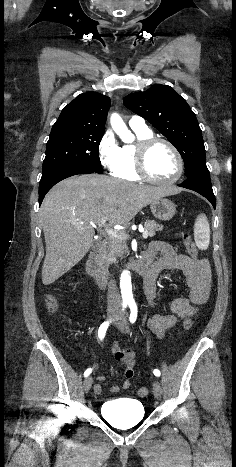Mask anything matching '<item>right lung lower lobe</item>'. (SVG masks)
Instances as JSON below:
<instances>
[{
  "mask_svg": "<svg viewBox=\"0 0 236 467\" xmlns=\"http://www.w3.org/2000/svg\"><path fill=\"white\" fill-rule=\"evenodd\" d=\"M95 171L81 165L62 164L43 170L39 184V205L46 193L59 181L77 174H89Z\"/></svg>",
  "mask_w": 236,
  "mask_h": 467,
  "instance_id": "obj_1",
  "label": "right lung lower lobe"
}]
</instances>
